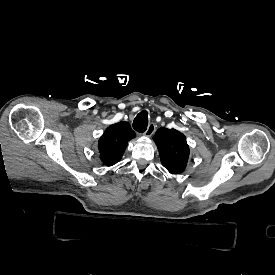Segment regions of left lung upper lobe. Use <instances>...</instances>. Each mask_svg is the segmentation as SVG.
Returning <instances> with one entry per match:
<instances>
[{
    "mask_svg": "<svg viewBox=\"0 0 275 275\" xmlns=\"http://www.w3.org/2000/svg\"><path fill=\"white\" fill-rule=\"evenodd\" d=\"M162 165L172 174L182 173L189 158L186 137L175 129L160 128L153 137Z\"/></svg>",
    "mask_w": 275,
    "mask_h": 275,
    "instance_id": "1",
    "label": "left lung upper lobe"
}]
</instances>
